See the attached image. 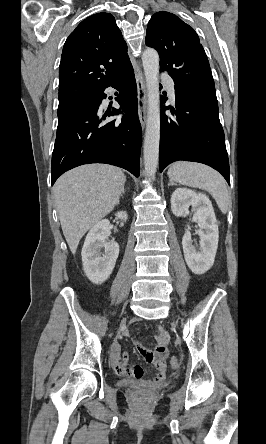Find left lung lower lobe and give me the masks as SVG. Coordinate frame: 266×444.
<instances>
[{
  "mask_svg": "<svg viewBox=\"0 0 266 444\" xmlns=\"http://www.w3.org/2000/svg\"><path fill=\"white\" fill-rule=\"evenodd\" d=\"M162 87V86H161ZM176 111H161L160 172L178 160L200 162L219 171L230 184L225 136L218 115L215 87L175 85ZM166 98L161 97L162 103Z\"/></svg>",
  "mask_w": 266,
  "mask_h": 444,
  "instance_id": "left-lung-lower-lobe-1",
  "label": "left lung lower lobe"
}]
</instances>
